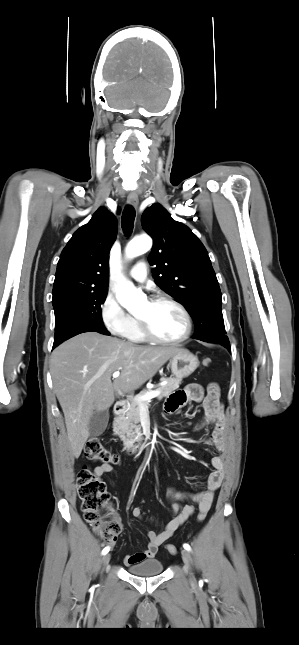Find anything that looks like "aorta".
I'll use <instances>...</instances> for the list:
<instances>
[{
  "mask_svg": "<svg viewBox=\"0 0 299 645\" xmlns=\"http://www.w3.org/2000/svg\"><path fill=\"white\" fill-rule=\"evenodd\" d=\"M152 247V240L148 236H141L133 239L126 247V256L134 258L140 256ZM118 302L129 312L139 310L141 303L145 300V294L137 290L129 281H122L116 289Z\"/></svg>",
  "mask_w": 299,
  "mask_h": 645,
  "instance_id": "1",
  "label": "aorta"
}]
</instances>
